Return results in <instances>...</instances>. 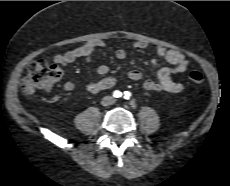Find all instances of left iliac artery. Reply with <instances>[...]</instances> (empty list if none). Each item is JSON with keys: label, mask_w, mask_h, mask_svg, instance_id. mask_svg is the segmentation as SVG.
Wrapping results in <instances>:
<instances>
[{"label": "left iliac artery", "mask_w": 230, "mask_h": 186, "mask_svg": "<svg viewBox=\"0 0 230 186\" xmlns=\"http://www.w3.org/2000/svg\"><path fill=\"white\" fill-rule=\"evenodd\" d=\"M131 95H132V94H131L129 91H125V92H124V98H125V99H130Z\"/></svg>", "instance_id": "obj_1"}]
</instances>
